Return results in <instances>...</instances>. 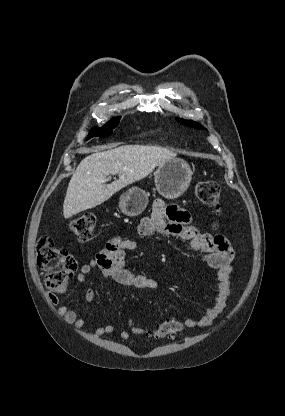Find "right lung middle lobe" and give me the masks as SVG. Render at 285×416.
I'll return each instance as SVG.
<instances>
[{
  "label": "right lung middle lobe",
  "instance_id": "obj_1",
  "mask_svg": "<svg viewBox=\"0 0 285 416\" xmlns=\"http://www.w3.org/2000/svg\"><path fill=\"white\" fill-rule=\"evenodd\" d=\"M120 120V117L113 118L110 122H108L106 125L100 128H93L91 132L89 133L88 138L92 137H107L112 134V130L118 125Z\"/></svg>",
  "mask_w": 285,
  "mask_h": 416
}]
</instances>
